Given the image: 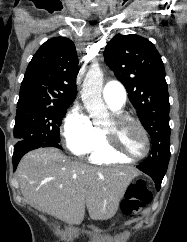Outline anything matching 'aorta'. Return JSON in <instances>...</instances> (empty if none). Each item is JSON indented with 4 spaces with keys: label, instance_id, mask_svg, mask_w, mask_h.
<instances>
[{
    "label": "aorta",
    "instance_id": "762f6f07",
    "mask_svg": "<svg viewBox=\"0 0 187 242\" xmlns=\"http://www.w3.org/2000/svg\"><path fill=\"white\" fill-rule=\"evenodd\" d=\"M103 72L91 67L82 85V101L89 116L98 123L108 117V110L102 99Z\"/></svg>",
    "mask_w": 187,
    "mask_h": 242
}]
</instances>
